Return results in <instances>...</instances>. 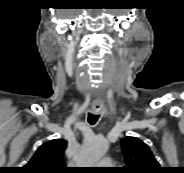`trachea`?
Here are the masks:
<instances>
[{"mask_svg": "<svg viewBox=\"0 0 184 173\" xmlns=\"http://www.w3.org/2000/svg\"><path fill=\"white\" fill-rule=\"evenodd\" d=\"M98 119H99V115L91 114V113L88 114V122H89V124H91V125L96 124Z\"/></svg>", "mask_w": 184, "mask_h": 173, "instance_id": "obj_1", "label": "trachea"}]
</instances>
